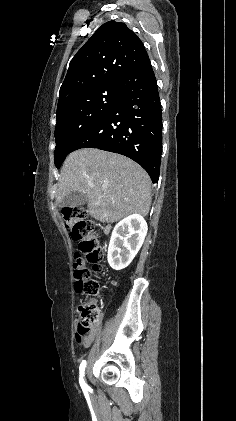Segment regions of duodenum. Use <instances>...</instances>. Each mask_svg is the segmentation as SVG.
<instances>
[{"label":"duodenum","instance_id":"duodenum-1","mask_svg":"<svg viewBox=\"0 0 236 421\" xmlns=\"http://www.w3.org/2000/svg\"><path fill=\"white\" fill-rule=\"evenodd\" d=\"M109 229H110V226H106V227H105V230H104V231H105V233H108Z\"/></svg>","mask_w":236,"mask_h":421}]
</instances>
